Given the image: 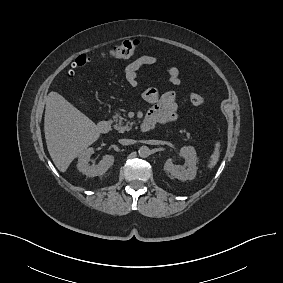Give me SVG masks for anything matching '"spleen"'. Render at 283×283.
<instances>
[{
    "instance_id": "obj_1",
    "label": "spleen",
    "mask_w": 283,
    "mask_h": 283,
    "mask_svg": "<svg viewBox=\"0 0 283 283\" xmlns=\"http://www.w3.org/2000/svg\"><path fill=\"white\" fill-rule=\"evenodd\" d=\"M219 157H220V142H216L213 153L211 154L208 161V168L210 170L216 166L217 162L219 161Z\"/></svg>"
}]
</instances>
